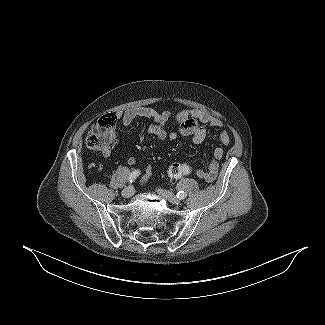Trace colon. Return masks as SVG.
Here are the masks:
<instances>
[{
  "label": "colon",
  "instance_id": "obj_1",
  "mask_svg": "<svg viewBox=\"0 0 325 325\" xmlns=\"http://www.w3.org/2000/svg\"><path fill=\"white\" fill-rule=\"evenodd\" d=\"M116 116L112 113L102 115L91 128L87 136V145L93 150H105L114 141L116 132ZM192 172V167L186 163H173L167 170L171 180H177Z\"/></svg>",
  "mask_w": 325,
  "mask_h": 325
}]
</instances>
